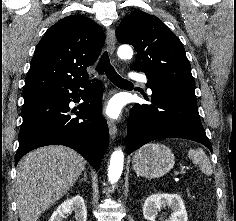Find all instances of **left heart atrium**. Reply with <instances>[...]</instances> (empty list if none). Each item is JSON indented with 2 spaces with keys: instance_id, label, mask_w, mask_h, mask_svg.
I'll use <instances>...</instances> for the list:
<instances>
[{
  "instance_id": "left-heart-atrium-1",
  "label": "left heart atrium",
  "mask_w": 236,
  "mask_h": 221,
  "mask_svg": "<svg viewBox=\"0 0 236 221\" xmlns=\"http://www.w3.org/2000/svg\"><path fill=\"white\" fill-rule=\"evenodd\" d=\"M120 111H121L120 104L117 101L112 100L108 103L105 113L108 117L116 119L119 117Z\"/></svg>"
}]
</instances>
